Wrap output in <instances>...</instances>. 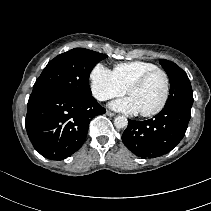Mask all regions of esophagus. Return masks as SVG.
<instances>
[{
    "mask_svg": "<svg viewBox=\"0 0 211 211\" xmlns=\"http://www.w3.org/2000/svg\"><path fill=\"white\" fill-rule=\"evenodd\" d=\"M106 114L108 115V116H110V117H113V116H115V113H113V112H111V111H106Z\"/></svg>",
    "mask_w": 211,
    "mask_h": 211,
    "instance_id": "34e87169",
    "label": "esophagus"
}]
</instances>
